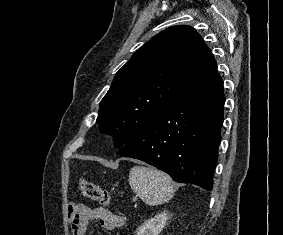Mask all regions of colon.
I'll return each mask as SVG.
<instances>
[{"mask_svg": "<svg viewBox=\"0 0 283 235\" xmlns=\"http://www.w3.org/2000/svg\"><path fill=\"white\" fill-rule=\"evenodd\" d=\"M79 187L85 197L96 200L104 206H107L110 203V193L91 180L87 178H81L79 180Z\"/></svg>", "mask_w": 283, "mask_h": 235, "instance_id": "5ec220e1", "label": "colon"}]
</instances>
